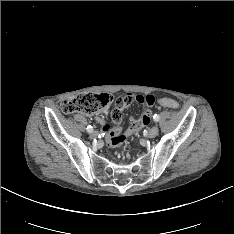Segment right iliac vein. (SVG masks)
<instances>
[{
    "instance_id": "1",
    "label": "right iliac vein",
    "mask_w": 234,
    "mask_h": 234,
    "mask_svg": "<svg viewBox=\"0 0 234 234\" xmlns=\"http://www.w3.org/2000/svg\"><path fill=\"white\" fill-rule=\"evenodd\" d=\"M90 136L92 138H97L98 137V132L97 131H92L91 134H90Z\"/></svg>"
}]
</instances>
